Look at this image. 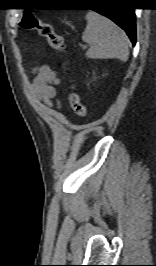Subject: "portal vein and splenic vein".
Returning a JSON list of instances; mask_svg holds the SVG:
<instances>
[{
	"label": "portal vein and splenic vein",
	"mask_w": 156,
	"mask_h": 266,
	"mask_svg": "<svg viewBox=\"0 0 156 266\" xmlns=\"http://www.w3.org/2000/svg\"><path fill=\"white\" fill-rule=\"evenodd\" d=\"M82 47H83L84 49H86V48H87V46H86V45H83Z\"/></svg>",
	"instance_id": "portal-vein-and-splenic-vein-1"
}]
</instances>
